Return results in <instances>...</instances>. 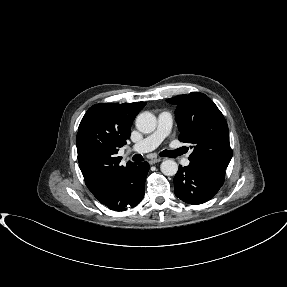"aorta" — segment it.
I'll return each mask as SVG.
<instances>
[{
	"mask_svg": "<svg viewBox=\"0 0 287 287\" xmlns=\"http://www.w3.org/2000/svg\"><path fill=\"white\" fill-rule=\"evenodd\" d=\"M156 117L150 112H142L136 117V128L142 133H151L156 129ZM161 172L166 176H174L178 165L174 160H164L160 165Z\"/></svg>",
	"mask_w": 287,
	"mask_h": 287,
	"instance_id": "1",
	"label": "aorta"
}]
</instances>
